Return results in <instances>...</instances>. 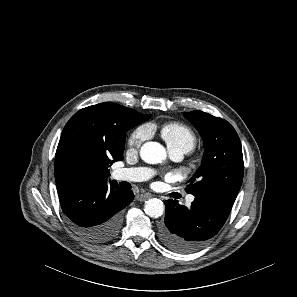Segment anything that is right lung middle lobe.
<instances>
[{
	"label": "right lung middle lobe",
	"mask_w": 297,
	"mask_h": 297,
	"mask_svg": "<svg viewBox=\"0 0 297 297\" xmlns=\"http://www.w3.org/2000/svg\"><path fill=\"white\" fill-rule=\"evenodd\" d=\"M151 115H149L147 118H140V117H130L128 120V130L137 126L139 123L149 119Z\"/></svg>",
	"instance_id": "1"
}]
</instances>
